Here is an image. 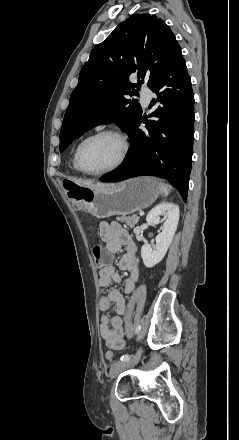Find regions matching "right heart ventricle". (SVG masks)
I'll use <instances>...</instances> for the list:
<instances>
[{
  "mask_svg": "<svg viewBox=\"0 0 239 440\" xmlns=\"http://www.w3.org/2000/svg\"><path fill=\"white\" fill-rule=\"evenodd\" d=\"M75 152H76V151H74L73 156H72V167H73V169H74L76 172H79L78 169H77V167H76V163H75Z\"/></svg>",
  "mask_w": 239,
  "mask_h": 440,
  "instance_id": "1",
  "label": "right heart ventricle"
}]
</instances>
